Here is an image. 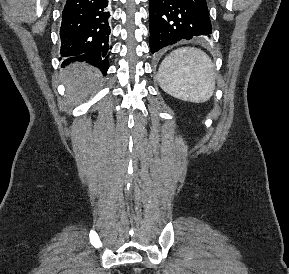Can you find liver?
Instances as JSON below:
<instances>
[{"label":"liver","mask_w":289,"mask_h":274,"mask_svg":"<svg viewBox=\"0 0 289 274\" xmlns=\"http://www.w3.org/2000/svg\"><path fill=\"white\" fill-rule=\"evenodd\" d=\"M100 72L92 66L76 63L62 72L66 86V100L69 105L81 103L94 88Z\"/></svg>","instance_id":"6515ba94"}]
</instances>
